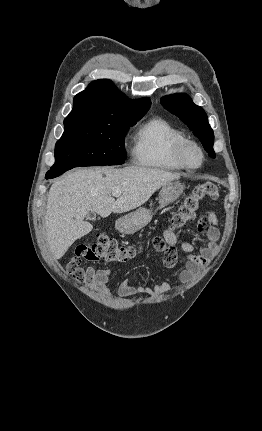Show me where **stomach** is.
I'll return each mask as SVG.
<instances>
[{
	"label": "stomach",
	"instance_id": "1",
	"mask_svg": "<svg viewBox=\"0 0 262 431\" xmlns=\"http://www.w3.org/2000/svg\"><path fill=\"white\" fill-rule=\"evenodd\" d=\"M184 186L178 181L170 182L162 186L159 195V207L163 208L179 198L183 193ZM153 213L151 210L140 207L136 211L122 216L116 221V229L123 234H134L151 221Z\"/></svg>",
	"mask_w": 262,
	"mask_h": 431
}]
</instances>
